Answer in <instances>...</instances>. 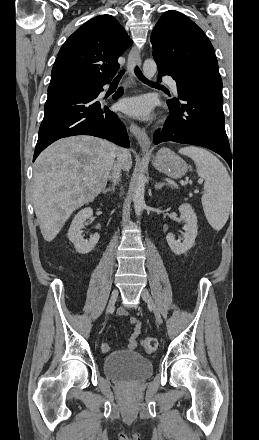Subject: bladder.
Returning a JSON list of instances; mask_svg holds the SVG:
<instances>
[{
  "mask_svg": "<svg viewBox=\"0 0 259 440\" xmlns=\"http://www.w3.org/2000/svg\"><path fill=\"white\" fill-rule=\"evenodd\" d=\"M104 374L119 382L137 383L153 373V364L144 355L135 351H115L103 360Z\"/></svg>",
  "mask_w": 259,
  "mask_h": 440,
  "instance_id": "obj_1",
  "label": "bladder"
}]
</instances>
